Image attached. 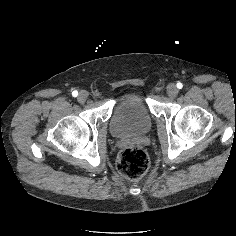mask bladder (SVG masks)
Wrapping results in <instances>:
<instances>
[{"label":"bladder","mask_w":236,"mask_h":236,"mask_svg":"<svg viewBox=\"0 0 236 236\" xmlns=\"http://www.w3.org/2000/svg\"><path fill=\"white\" fill-rule=\"evenodd\" d=\"M153 126V116L144 94L126 90L115 100L109 130L115 138L145 135Z\"/></svg>","instance_id":"31cf9c89"}]
</instances>
